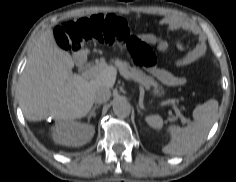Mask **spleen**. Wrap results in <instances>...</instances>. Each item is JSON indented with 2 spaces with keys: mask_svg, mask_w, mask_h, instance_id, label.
Segmentation results:
<instances>
[{
  "mask_svg": "<svg viewBox=\"0 0 236 182\" xmlns=\"http://www.w3.org/2000/svg\"><path fill=\"white\" fill-rule=\"evenodd\" d=\"M218 109L216 100H209L199 105L193 111L194 122L186 127L171 125L168 132L171 141L162 148V151L171 155H182L199 148L205 141L214 121ZM147 124L153 129H161L163 120L159 115L145 118Z\"/></svg>",
  "mask_w": 236,
  "mask_h": 182,
  "instance_id": "spleen-1",
  "label": "spleen"
}]
</instances>
